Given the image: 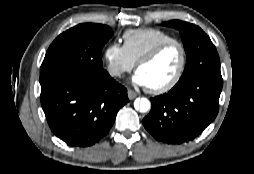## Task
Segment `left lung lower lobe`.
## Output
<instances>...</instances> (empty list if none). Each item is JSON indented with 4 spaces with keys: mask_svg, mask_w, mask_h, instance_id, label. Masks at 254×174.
Masks as SVG:
<instances>
[{
    "mask_svg": "<svg viewBox=\"0 0 254 174\" xmlns=\"http://www.w3.org/2000/svg\"><path fill=\"white\" fill-rule=\"evenodd\" d=\"M222 85V77H201L176 84L168 93L150 99L152 108L143 119L144 127L164 143L193 140L217 116Z\"/></svg>",
    "mask_w": 254,
    "mask_h": 174,
    "instance_id": "left-lung-lower-lobe-1",
    "label": "left lung lower lobe"
}]
</instances>
